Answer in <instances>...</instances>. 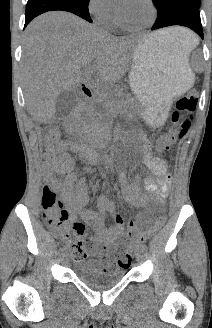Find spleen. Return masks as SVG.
Instances as JSON below:
<instances>
[{"mask_svg":"<svg viewBox=\"0 0 212 328\" xmlns=\"http://www.w3.org/2000/svg\"><path fill=\"white\" fill-rule=\"evenodd\" d=\"M183 29V35L180 39L181 48L184 53L189 56L190 52L199 44V39L197 36L190 30Z\"/></svg>","mask_w":212,"mask_h":328,"instance_id":"3e777b00","label":"spleen"}]
</instances>
